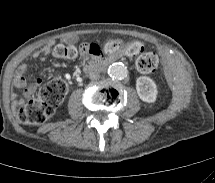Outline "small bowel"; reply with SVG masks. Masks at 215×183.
Segmentation results:
<instances>
[{
  "label": "small bowel",
  "instance_id": "c3829d8e",
  "mask_svg": "<svg viewBox=\"0 0 215 183\" xmlns=\"http://www.w3.org/2000/svg\"><path fill=\"white\" fill-rule=\"evenodd\" d=\"M81 47V56L82 57H87L89 53L83 49V46ZM50 49V44L44 45L42 48L39 50L35 51L32 55L34 59L39 58L41 56L47 55ZM28 75H29V70L26 65H21L15 75L14 78V84L16 87L23 89L24 97L29 98L31 97L37 87L40 85L41 80L36 79L33 83L29 84L28 83ZM12 100L15 106H19L23 103V99L16 94H12Z\"/></svg>",
  "mask_w": 215,
  "mask_h": 183
}]
</instances>
